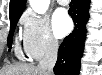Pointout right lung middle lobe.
Instances as JSON below:
<instances>
[{
	"label": "right lung middle lobe",
	"mask_w": 102,
	"mask_h": 75,
	"mask_svg": "<svg viewBox=\"0 0 102 75\" xmlns=\"http://www.w3.org/2000/svg\"><path fill=\"white\" fill-rule=\"evenodd\" d=\"M20 16H21V14L10 17V32H9V36L7 39V42H8L7 44H8L9 50H10L11 45H12L14 30H15V27L17 25V22H18Z\"/></svg>",
	"instance_id": "dd1d6c3e"
}]
</instances>
